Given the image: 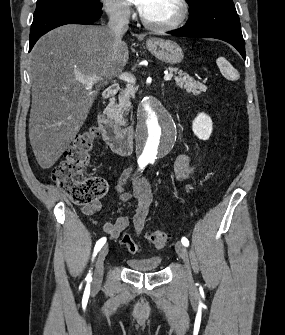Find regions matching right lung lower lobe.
<instances>
[{"instance_id":"1","label":"right lung lower lobe","mask_w":285,"mask_h":335,"mask_svg":"<svg viewBox=\"0 0 285 335\" xmlns=\"http://www.w3.org/2000/svg\"><path fill=\"white\" fill-rule=\"evenodd\" d=\"M101 16L100 11L78 7H56L34 15L29 38V51L36 41L48 31L71 23L90 24Z\"/></svg>"}]
</instances>
